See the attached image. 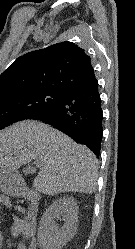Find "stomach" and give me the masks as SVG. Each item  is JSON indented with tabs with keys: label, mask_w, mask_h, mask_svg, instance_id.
<instances>
[{
	"label": "stomach",
	"mask_w": 135,
	"mask_h": 249,
	"mask_svg": "<svg viewBox=\"0 0 135 249\" xmlns=\"http://www.w3.org/2000/svg\"><path fill=\"white\" fill-rule=\"evenodd\" d=\"M16 174L13 171L0 168V188L7 189L10 185L15 182Z\"/></svg>",
	"instance_id": "stomach-1"
}]
</instances>
